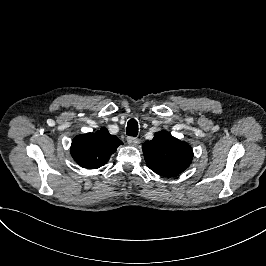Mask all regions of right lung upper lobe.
<instances>
[{
  "label": "right lung upper lobe",
  "instance_id": "cb5924a9",
  "mask_svg": "<svg viewBox=\"0 0 266 266\" xmlns=\"http://www.w3.org/2000/svg\"><path fill=\"white\" fill-rule=\"evenodd\" d=\"M123 144L116 136L103 127L95 133L76 136L71 145V155L83 168L96 169L108 162L119 145Z\"/></svg>",
  "mask_w": 266,
  "mask_h": 266
}]
</instances>
